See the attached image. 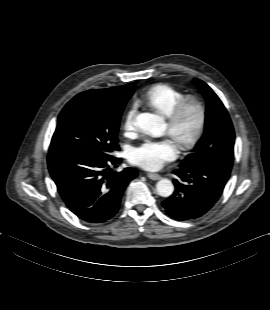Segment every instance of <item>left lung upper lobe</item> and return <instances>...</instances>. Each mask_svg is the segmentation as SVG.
Masks as SVG:
<instances>
[{"label":"left lung upper lobe","mask_w":270,"mask_h":310,"mask_svg":"<svg viewBox=\"0 0 270 310\" xmlns=\"http://www.w3.org/2000/svg\"><path fill=\"white\" fill-rule=\"evenodd\" d=\"M207 100L205 131L195 152L181 166H205L230 173L234 160L235 134L224 105L203 81L195 80Z\"/></svg>","instance_id":"obj_1"}]
</instances>
